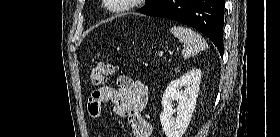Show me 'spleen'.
I'll return each instance as SVG.
<instances>
[{
	"label": "spleen",
	"instance_id": "obj_1",
	"mask_svg": "<svg viewBox=\"0 0 280 137\" xmlns=\"http://www.w3.org/2000/svg\"><path fill=\"white\" fill-rule=\"evenodd\" d=\"M170 33L174 35L180 42L184 44L182 56L187 59L202 50H205L208 45L205 39L197 32L183 26H173Z\"/></svg>",
	"mask_w": 280,
	"mask_h": 137
}]
</instances>
